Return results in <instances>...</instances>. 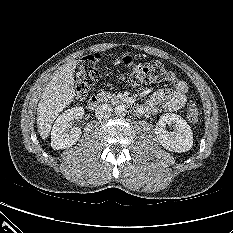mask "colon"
Returning <instances> with one entry per match:
<instances>
[{
	"instance_id": "5ec220e1",
	"label": "colon",
	"mask_w": 233,
	"mask_h": 233,
	"mask_svg": "<svg viewBox=\"0 0 233 233\" xmlns=\"http://www.w3.org/2000/svg\"><path fill=\"white\" fill-rule=\"evenodd\" d=\"M101 57L98 54L87 55L79 63L76 74V97L85 99L93 89L94 83L101 77ZM121 79H127L131 84H152L166 82L174 79V74L160 61H152L145 64H136L127 75H120ZM186 118L192 123L199 122L201 111L194 101L186 106Z\"/></svg>"
}]
</instances>
